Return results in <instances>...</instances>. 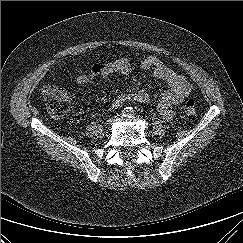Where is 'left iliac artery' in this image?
Returning a JSON list of instances; mask_svg holds the SVG:
<instances>
[{"label": "left iliac artery", "instance_id": "44dca946", "mask_svg": "<svg viewBox=\"0 0 243 243\" xmlns=\"http://www.w3.org/2000/svg\"><path fill=\"white\" fill-rule=\"evenodd\" d=\"M129 118H134L135 117V113L133 110H130L129 111V115H128Z\"/></svg>", "mask_w": 243, "mask_h": 243}]
</instances>
